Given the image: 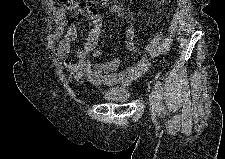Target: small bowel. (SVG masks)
<instances>
[{
	"mask_svg": "<svg viewBox=\"0 0 225 159\" xmlns=\"http://www.w3.org/2000/svg\"><path fill=\"white\" fill-rule=\"evenodd\" d=\"M50 11L53 15L55 28L49 36V41L58 43L56 54L59 58H65L71 52V45L78 34V16H87L92 24L83 48L72 51L78 57L79 62L75 64L63 62L62 64L68 75L78 83L90 82L97 88L115 84H130L148 71L150 59L168 53L172 46L174 30L168 35L162 32L158 33L147 44L144 51H140L135 42L134 29L127 10L119 4H114L110 7V11L127 23L125 31L126 52L139 55V59L132 67L118 72L123 61L122 58L99 63H94L90 59V55L95 59L110 55V53H105L97 48L102 30V19L93 3L78 1H72L67 5L52 3ZM68 14L72 17L71 22H68Z\"/></svg>",
	"mask_w": 225,
	"mask_h": 159,
	"instance_id": "c3829d8e",
	"label": "small bowel"
}]
</instances>
